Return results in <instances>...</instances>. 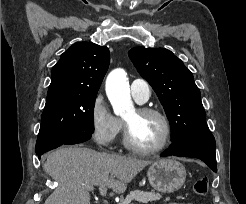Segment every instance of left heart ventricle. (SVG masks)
<instances>
[{"label":"left heart ventricle","instance_id":"1","mask_svg":"<svg viewBox=\"0 0 246 204\" xmlns=\"http://www.w3.org/2000/svg\"><path fill=\"white\" fill-rule=\"evenodd\" d=\"M133 142L144 148L158 145L164 135V124L155 115H141L137 110L125 117Z\"/></svg>","mask_w":246,"mask_h":204}]
</instances>
